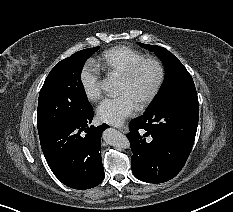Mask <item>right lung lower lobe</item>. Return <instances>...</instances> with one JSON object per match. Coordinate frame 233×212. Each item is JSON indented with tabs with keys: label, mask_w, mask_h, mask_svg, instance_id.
<instances>
[{
	"label": "right lung lower lobe",
	"mask_w": 233,
	"mask_h": 212,
	"mask_svg": "<svg viewBox=\"0 0 233 212\" xmlns=\"http://www.w3.org/2000/svg\"><path fill=\"white\" fill-rule=\"evenodd\" d=\"M93 110L71 123H65L40 136L46 161L54 175L74 189L99 185L104 177L101 160V133L109 127L90 126Z\"/></svg>",
	"instance_id": "98d812e1"
}]
</instances>
